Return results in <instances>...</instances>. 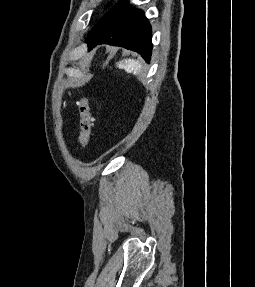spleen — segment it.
Segmentation results:
<instances>
[{
    "label": "spleen",
    "instance_id": "1",
    "mask_svg": "<svg viewBox=\"0 0 255 287\" xmlns=\"http://www.w3.org/2000/svg\"><path fill=\"white\" fill-rule=\"evenodd\" d=\"M118 68H124L128 74H139L141 70V64L139 62H136V60H122V62H119L117 64Z\"/></svg>",
    "mask_w": 255,
    "mask_h": 287
}]
</instances>
